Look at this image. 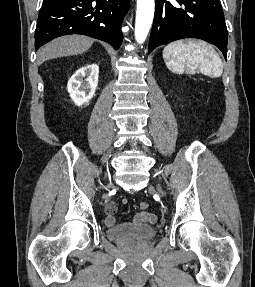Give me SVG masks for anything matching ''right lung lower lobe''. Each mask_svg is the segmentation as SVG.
Listing matches in <instances>:
<instances>
[{
  "label": "right lung lower lobe",
  "mask_w": 255,
  "mask_h": 287,
  "mask_svg": "<svg viewBox=\"0 0 255 287\" xmlns=\"http://www.w3.org/2000/svg\"><path fill=\"white\" fill-rule=\"evenodd\" d=\"M128 5L129 0H50L39 12L35 49L68 34L87 35L119 49Z\"/></svg>",
  "instance_id": "obj_1"
}]
</instances>
